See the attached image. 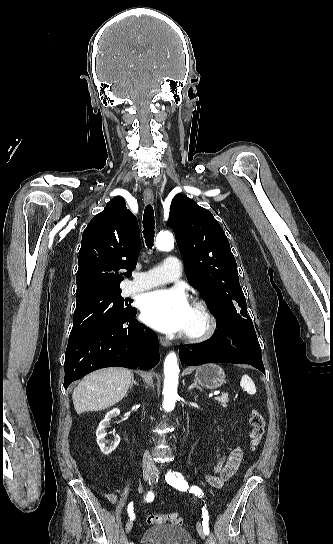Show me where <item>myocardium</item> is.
<instances>
[{
	"mask_svg": "<svg viewBox=\"0 0 333 544\" xmlns=\"http://www.w3.org/2000/svg\"><path fill=\"white\" fill-rule=\"evenodd\" d=\"M192 307L200 313L202 325L195 331H185L183 337L190 342H202L215 334L218 320L212 308L205 300L200 298L195 299Z\"/></svg>",
	"mask_w": 333,
	"mask_h": 544,
	"instance_id": "myocardium-1",
	"label": "myocardium"
}]
</instances>
